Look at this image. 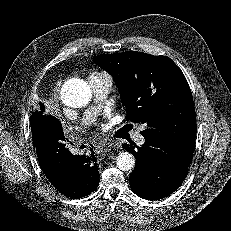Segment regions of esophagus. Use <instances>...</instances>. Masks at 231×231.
Masks as SVG:
<instances>
[{
    "label": "esophagus",
    "instance_id": "34e87169",
    "mask_svg": "<svg viewBox=\"0 0 231 231\" xmlns=\"http://www.w3.org/2000/svg\"><path fill=\"white\" fill-rule=\"evenodd\" d=\"M100 144L104 151H111L115 148V144L111 140H103Z\"/></svg>",
    "mask_w": 231,
    "mask_h": 231
}]
</instances>
